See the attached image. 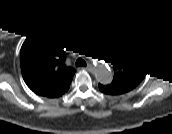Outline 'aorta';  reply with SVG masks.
<instances>
[{"mask_svg": "<svg viewBox=\"0 0 172 134\" xmlns=\"http://www.w3.org/2000/svg\"><path fill=\"white\" fill-rule=\"evenodd\" d=\"M94 64L95 66H97V68L95 69V74L96 77L99 81H103V82H108L110 80V74L107 71L106 67L101 63H103V61H98L97 59H92L91 57H88Z\"/></svg>", "mask_w": 172, "mask_h": 134, "instance_id": "obj_1", "label": "aorta"}]
</instances>
